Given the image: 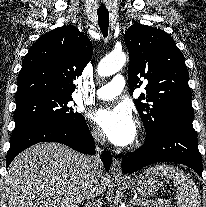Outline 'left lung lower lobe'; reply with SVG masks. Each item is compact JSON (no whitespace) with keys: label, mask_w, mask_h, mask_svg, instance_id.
Segmentation results:
<instances>
[{"label":"left lung lower lobe","mask_w":206,"mask_h":207,"mask_svg":"<svg viewBox=\"0 0 206 207\" xmlns=\"http://www.w3.org/2000/svg\"><path fill=\"white\" fill-rule=\"evenodd\" d=\"M156 162L187 165L202 176V157L192 122H178L146 139L144 145L123 156V173H133Z\"/></svg>","instance_id":"1"}]
</instances>
